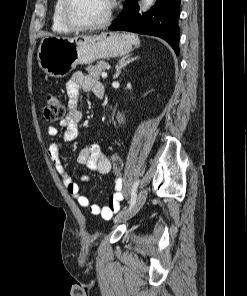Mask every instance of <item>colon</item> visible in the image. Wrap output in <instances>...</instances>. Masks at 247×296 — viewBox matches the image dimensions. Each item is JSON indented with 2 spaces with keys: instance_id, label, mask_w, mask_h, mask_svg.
Here are the masks:
<instances>
[{
  "instance_id": "colon-1",
  "label": "colon",
  "mask_w": 247,
  "mask_h": 296,
  "mask_svg": "<svg viewBox=\"0 0 247 296\" xmlns=\"http://www.w3.org/2000/svg\"><path fill=\"white\" fill-rule=\"evenodd\" d=\"M65 115V106L62 100L53 94H49L44 103L43 116L48 122H55ZM111 167L115 174H119L123 169V160L118 154L110 157Z\"/></svg>"
}]
</instances>
